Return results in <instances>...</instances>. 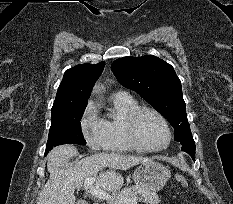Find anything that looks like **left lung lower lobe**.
Returning <instances> with one entry per match:
<instances>
[{"label":"left lung lower lobe","mask_w":233,"mask_h":204,"mask_svg":"<svg viewBox=\"0 0 233 204\" xmlns=\"http://www.w3.org/2000/svg\"><path fill=\"white\" fill-rule=\"evenodd\" d=\"M186 151H187V153H189L194 158L195 150L186 149Z\"/></svg>","instance_id":"0a47b994"}]
</instances>
